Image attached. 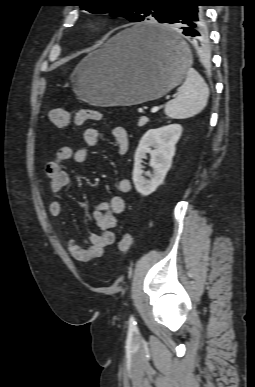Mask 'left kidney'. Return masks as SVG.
Listing matches in <instances>:
<instances>
[{"instance_id": "5707ae66", "label": "left kidney", "mask_w": 255, "mask_h": 387, "mask_svg": "<svg viewBox=\"0 0 255 387\" xmlns=\"http://www.w3.org/2000/svg\"><path fill=\"white\" fill-rule=\"evenodd\" d=\"M182 134V126L170 124L158 129L148 130L140 140L134 157L133 182L136 190L148 196L163 183L175 155V145ZM153 148V149H152ZM150 155V167L153 175L143 176L142 160Z\"/></svg>"}]
</instances>
